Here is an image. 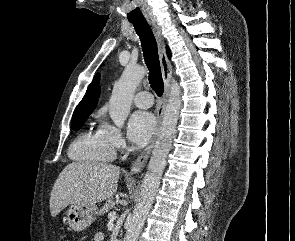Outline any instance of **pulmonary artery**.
<instances>
[{
	"instance_id": "pulmonary-artery-1",
	"label": "pulmonary artery",
	"mask_w": 295,
	"mask_h": 241,
	"mask_svg": "<svg viewBox=\"0 0 295 241\" xmlns=\"http://www.w3.org/2000/svg\"><path fill=\"white\" fill-rule=\"evenodd\" d=\"M133 101L137 107L146 109L152 106L154 99L150 92L142 91L135 95Z\"/></svg>"
}]
</instances>
